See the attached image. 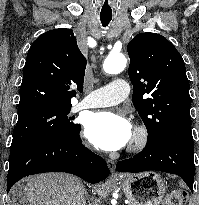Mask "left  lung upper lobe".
<instances>
[{
  "label": "left lung upper lobe",
  "mask_w": 199,
  "mask_h": 205,
  "mask_svg": "<svg viewBox=\"0 0 199 205\" xmlns=\"http://www.w3.org/2000/svg\"><path fill=\"white\" fill-rule=\"evenodd\" d=\"M127 51L132 100L148 140L159 141L175 130L191 131L189 81L174 45L159 34L146 32L135 36Z\"/></svg>",
  "instance_id": "left-lung-upper-lobe-1"
}]
</instances>
